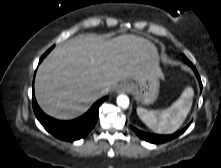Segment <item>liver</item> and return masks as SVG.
Wrapping results in <instances>:
<instances>
[{"label":"liver","instance_id":"1","mask_svg":"<svg viewBox=\"0 0 221 168\" xmlns=\"http://www.w3.org/2000/svg\"><path fill=\"white\" fill-rule=\"evenodd\" d=\"M159 71L157 48L145 38L78 36L58 45L39 66L36 99L46 114L73 119L103 95V88L114 90L120 81L140 82Z\"/></svg>","mask_w":221,"mask_h":168}]
</instances>
